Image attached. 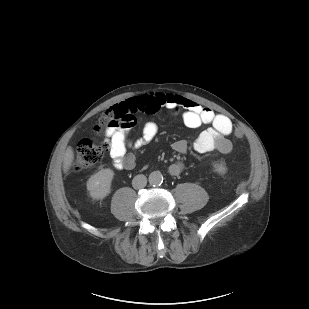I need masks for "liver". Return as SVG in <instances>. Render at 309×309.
Wrapping results in <instances>:
<instances>
[{"label": "liver", "mask_w": 309, "mask_h": 309, "mask_svg": "<svg viewBox=\"0 0 309 309\" xmlns=\"http://www.w3.org/2000/svg\"><path fill=\"white\" fill-rule=\"evenodd\" d=\"M74 160V151L71 147H68L65 151L64 157H63V171L64 173H68L70 170L72 163Z\"/></svg>", "instance_id": "obj_1"}]
</instances>
